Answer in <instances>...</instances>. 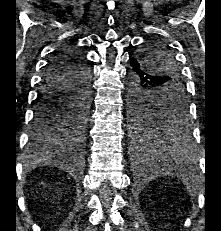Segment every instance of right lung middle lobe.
<instances>
[{
	"mask_svg": "<svg viewBox=\"0 0 221 231\" xmlns=\"http://www.w3.org/2000/svg\"><path fill=\"white\" fill-rule=\"evenodd\" d=\"M89 100L78 95L66 99L60 107H53L49 110L52 116L49 128L39 134L40 138L49 140L57 139L64 132L67 140L81 145L84 141Z\"/></svg>",
	"mask_w": 221,
	"mask_h": 231,
	"instance_id": "dd1d6c3e",
	"label": "right lung middle lobe"
}]
</instances>
